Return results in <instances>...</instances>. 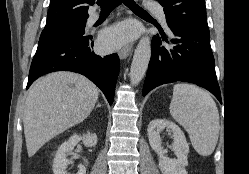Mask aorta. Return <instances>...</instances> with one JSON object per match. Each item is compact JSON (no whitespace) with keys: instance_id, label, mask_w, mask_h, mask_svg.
<instances>
[{"instance_id":"obj_1","label":"aorta","mask_w":249,"mask_h":174,"mask_svg":"<svg viewBox=\"0 0 249 174\" xmlns=\"http://www.w3.org/2000/svg\"><path fill=\"white\" fill-rule=\"evenodd\" d=\"M151 57V41L147 36H143L135 49L131 68L130 82L138 85L145 76Z\"/></svg>"}]
</instances>
